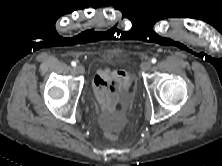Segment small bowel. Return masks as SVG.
Instances as JSON below:
<instances>
[{"label": "small bowel", "instance_id": "obj_1", "mask_svg": "<svg viewBox=\"0 0 222 166\" xmlns=\"http://www.w3.org/2000/svg\"><path fill=\"white\" fill-rule=\"evenodd\" d=\"M131 82L125 70L99 69L92 80V90L102 110L109 112L117 103L125 102Z\"/></svg>", "mask_w": 222, "mask_h": 166}]
</instances>
